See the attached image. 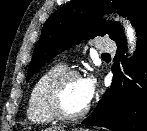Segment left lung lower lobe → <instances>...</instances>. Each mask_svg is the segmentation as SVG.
<instances>
[{
    "label": "left lung lower lobe",
    "instance_id": "left-lung-lower-lobe-1",
    "mask_svg": "<svg viewBox=\"0 0 147 131\" xmlns=\"http://www.w3.org/2000/svg\"><path fill=\"white\" fill-rule=\"evenodd\" d=\"M111 87L82 124L110 131H147V23L137 32V50L127 59L126 40L118 41Z\"/></svg>",
    "mask_w": 147,
    "mask_h": 131
}]
</instances>
